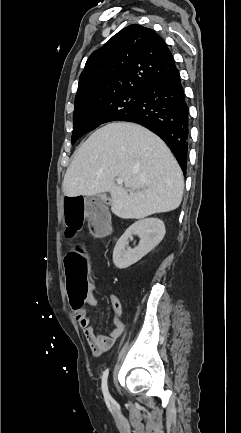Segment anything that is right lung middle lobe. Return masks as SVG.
I'll use <instances>...</instances> for the list:
<instances>
[{"label": "right lung middle lobe", "instance_id": "obj_1", "mask_svg": "<svg viewBox=\"0 0 241 433\" xmlns=\"http://www.w3.org/2000/svg\"><path fill=\"white\" fill-rule=\"evenodd\" d=\"M142 100L141 91H127L75 104L72 144L103 123L120 120Z\"/></svg>", "mask_w": 241, "mask_h": 433}]
</instances>
